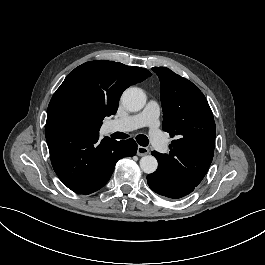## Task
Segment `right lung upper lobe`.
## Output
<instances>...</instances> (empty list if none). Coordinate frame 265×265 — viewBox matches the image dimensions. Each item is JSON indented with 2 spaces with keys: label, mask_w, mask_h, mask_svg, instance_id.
Instances as JSON below:
<instances>
[{
  "label": "right lung upper lobe",
  "mask_w": 265,
  "mask_h": 265,
  "mask_svg": "<svg viewBox=\"0 0 265 265\" xmlns=\"http://www.w3.org/2000/svg\"><path fill=\"white\" fill-rule=\"evenodd\" d=\"M149 76L151 73L144 68L99 60L78 66L64 82L74 78L89 80L103 94L106 103L116 111L122 92L130 85L142 82Z\"/></svg>",
  "instance_id": "cb5924a9"
}]
</instances>
